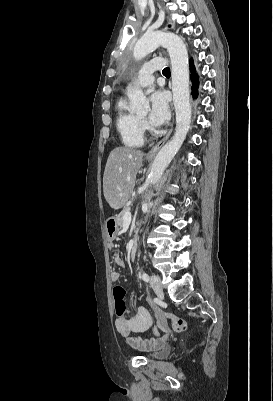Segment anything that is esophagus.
Masks as SVG:
<instances>
[{"instance_id": "1", "label": "esophagus", "mask_w": 273, "mask_h": 401, "mask_svg": "<svg viewBox=\"0 0 273 401\" xmlns=\"http://www.w3.org/2000/svg\"><path fill=\"white\" fill-rule=\"evenodd\" d=\"M162 53L164 55H166V51L162 50ZM173 131V124L170 128V130L168 131V133L164 136V138H162V140H160L158 143H156L155 146H153L151 148V150L147 153L146 158L147 159H153L156 155V153H158V151L160 150V148L164 145V143L168 140V138L170 137L171 133Z\"/></svg>"}]
</instances>
